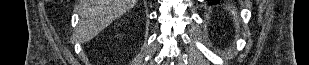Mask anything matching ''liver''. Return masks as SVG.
Returning a JSON list of instances; mask_svg holds the SVG:
<instances>
[{
    "mask_svg": "<svg viewBox=\"0 0 309 65\" xmlns=\"http://www.w3.org/2000/svg\"><path fill=\"white\" fill-rule=\"evenodd\" d=\"M137 0H81L78 36L81 43L93 39L115 19L133 8Z\"/></svg>",
    "mask_w": 309,
    "mask_h": 65,
    "instance_id": "1",
    "label": "liver"
}]
</instances>
